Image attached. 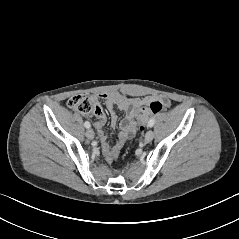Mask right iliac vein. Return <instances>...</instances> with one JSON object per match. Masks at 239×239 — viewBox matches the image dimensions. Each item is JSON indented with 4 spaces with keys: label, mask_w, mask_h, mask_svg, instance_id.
<instances>
[{
    "label": "right iliac vein",
    "mask_w": 239,
    "mask_h": 239,
    "mask_svg": "<svg viewBox=\"0 0 239 239\" xmlns=\"http://www.w3.org/2000/svg\"><path fill=\"white\" fill-rule=\"evenodd\" d=\"M86 136L89 138V139H93L95 137V133L92 129H88L86 131Z\"/></svg>",
    "instance_id": "obj_1"
}]
</instances>
